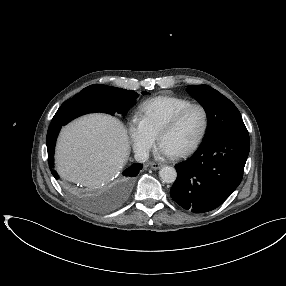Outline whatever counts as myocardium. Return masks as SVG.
I'll use <instances>...</instances> for the list:
<instances>
[{
    "instance_id": "myocardium-1",
    "label": "myocardium",
    "mask_w": 286,
    "mask_h": 286,
    "mask_svg": "<svg viewBox=\"0 0 286 286\" xmlns=\"http://www.w3.org/2000/svg\"><path fill=\"white\" fill-rule=\"evenodd\" d=\"M193 108H199L203 112L204 125L202 128V131H201L199 137L197 138V140L191 146H189L188 148L181 150L179 152L173 153L172 156L175 158L184 157L186 155L193 153L195 150L198 149V147L204 141V139L208 133V130H209V125H210V116H209V112H208L207 108L200 103H191V104L185 106L184 108L180 109L179 111H177L170 119H168L161 126V128L159 129V131L157 133V142L160 145L161 139L164 136V134L167 133L172 128H174L179 123V121L183 118V116Z\"/></svg>"
}]
</instances>
